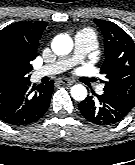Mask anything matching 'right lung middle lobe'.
<instances>
[{
  "label": "right lung middle lobe",
  "instance_id": "1",
  "mask_svg": "<svg viewBox=\"0 0 135 165\" xmlns=\"http://www.w3.org/2000/svg\"><path fill=\"white\" fill-rule=\"evenodd\" d=\"M3 80L4 81H9V82L22 81V79H20L19 77H10V78H5Z\"/></svg>",
  "mask_w": 135,
  "mask_h": 165
}]
</instances>
